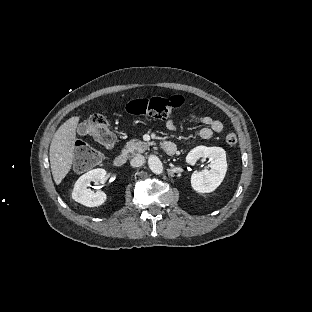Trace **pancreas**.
Wrapping results in <instances>:
<instances>
[{
  "label": "pancreas",
  "instance_id": "1",
  "mask_svg": "<svg viewBox=\"0 0 312 312\" xmlns=\"http://www.w3.org/2000/svg\"><path fill=\"white\" fill-rule=\"evenodd\" d=\"M152 143H146L141 140L133 139L127 142L125 148L121 151L122 155L125 157L131 158L135 155H139L144 153V151L148 148Z\"/></svg>",
  "mask_w": 312,
  "mask_h": 312
}]
</instances>
